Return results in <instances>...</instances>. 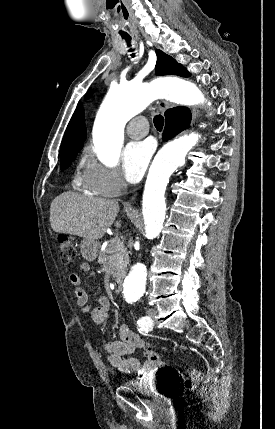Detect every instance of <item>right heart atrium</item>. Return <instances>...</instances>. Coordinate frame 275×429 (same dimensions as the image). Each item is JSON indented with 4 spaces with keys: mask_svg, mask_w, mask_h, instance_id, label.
<instances>
[{
    "mask_svg": "<svg viewBox=\"0 0 275 429\" xmlns=\"http://www.w3.org/2000/svg\"><path fill=\"white\" fill-rule=\"evenodd\" d=\"M83 184L89 191L105 197L117 196L125 187L117 169L100 163L90 153L85 156Z\"/></svg>",
    "mask_w": 275,
    "mask_h": 429,
    "instance_id": "obj_1",
    "label": "right heart atrium"
}]
</instances>
